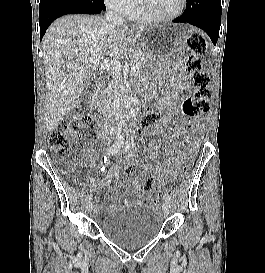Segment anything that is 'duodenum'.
Instances as JSON below:
<instances>
[{
  "label": "duodenum",
  "mask_w": 265,
  "mask_h": 273,
  "mask_svg": "<svg viewBox=\"0 0 265 273\" xmlns=\"http://www.w3.org/2000/svg\"><path fill=\"white\" fill-rule=\"evenodd\" d=\"M100 88V86H98V89ZM98 99H99V95L97 94V95H95L94 96V98H93V102H97L98 101Z\"/></svg>",
  "instance_id": "1"
}]
</instances>
